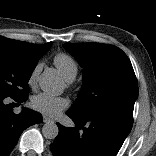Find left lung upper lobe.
<instances>
[{"instance_id": "left-lung-upper-lobe-1", "label": "left lung upper lobe", "mask_w": 156, "mask_h": 156, "mask_svg": "<svg viewBox=\"0 0 156 156\" xmlns=\"http://www.w3.org/2000/svg\"><path fill=\"white\" fill-rule=\"evenodd\" d=\"M83 67V86L69 109L89 114L103 109H120L133 114L138 84L132 64L119 48L99 43H65Z\"/></svg>"}]
</instances>
